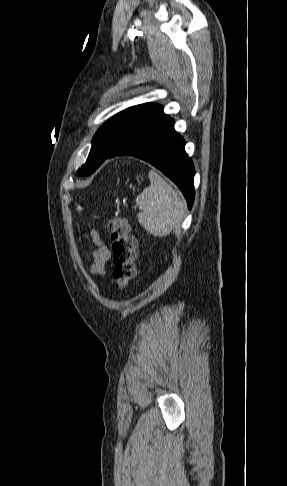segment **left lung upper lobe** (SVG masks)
Listing matches in <instances>:
<instances>
[{"label": "left lung upper lobe", "instance_id": "5c2ea615", "mask_svg": "<svg viewBox=\"0 0 287 486\" xmlns=\"http://www.w3.org/2000/svg\"><path fill=\"white\" fill-rule=\"evenodd\" d=\"M170 117L158 104L129 107L108 119L96 132L86 163L78 175L92 174L105 160L139 148Z\"/></svg>", "mask_w": 287, "mask_h": 486}]
</instances>
